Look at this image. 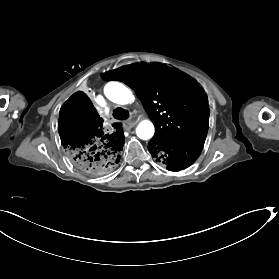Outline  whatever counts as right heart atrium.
I'll return each mask as SVG.
<instances>
[{"label":"right heart atrium","instance_id":"1","mask_svg":"<svg viewBox=\"0 0 279 279\" xmlns=\"http://www.w3.org/2000/svg\"><path fill=\"white\" fill-rule=\"evenodd\" d=\"M133 57L136 58V59H140V57L138 55H134ZM143 122L146 125V127L144 128V131H146V129H147V122L146 121H143Z\"/></svg>","mask_w":279,"mask_h":279}]
</instances>
